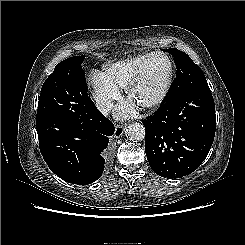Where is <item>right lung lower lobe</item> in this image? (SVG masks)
Masks as SVG:
<instances>
[{"label":"right lung lower lobe","instance_id":"obj_1","mask_svg":"<svg viewBox=\"0 0 245 245\" xmlns=\"http://www.w3.org/2000/svg\"><path fill=\"white\" fill-rule=\"evenodd\" d=\"M40 151L44 161L57 176L77 185L98 180L114 125L94 105L86 119L46 117L36 119Z\"/></svg>","mask_w":245,"mask_h":245}]
</instances>
